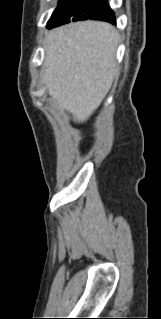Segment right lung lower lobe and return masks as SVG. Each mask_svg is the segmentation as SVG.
<instances>
[{
	"instance_id": "1",
	"label": "right lung lower lobe",
	"mask_w": 161,
	"mask_h": 319,
	"mask_svg": "<svg viewBox=\"0 0 161 319\" xmlns=\"http://www.w3.org/2000/svg\"><path fill=\"white\" fill-rule=\"evenodd\" d=\"M87 19L102 20L110 22L112 24L116 23L114 12L108 5L107 0H102L97 10L90 14Z\"/></svg>"
}]
</instances>
